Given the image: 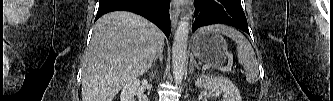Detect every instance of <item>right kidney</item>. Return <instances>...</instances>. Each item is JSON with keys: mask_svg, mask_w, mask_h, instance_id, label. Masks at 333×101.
Listing matches in <instances>:
<instances>
[{"mask_svg": "<svg viewBox=\"0 0 333 101\" xmlns=\"http://www.w3.org/2000/svg\"><path fill=\"white\" fill-rule=\"evenodd\" d=\"M152 77L154 74L152 73ZM140 81L137 78L129 80L121 91L120 100L121 101H134L137 96L140 101H148L147 96H145L139 89Z\"/></svg>", "mask_w": 333, "mask_h": 101, "instance_id": "right-kidney-1", "label": "right kidney"}]
</instances>
